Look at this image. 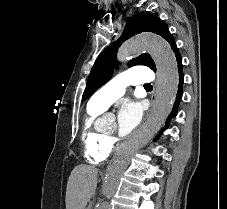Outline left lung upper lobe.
<instances>
[{
	"instance_id": "obj_1",
	"label": "left lung upper lobe",
	"mask_w": 227,
	"mask_h": 209,
	"mask_svg": "<svg viewBox=\"0 0 227 209\" xmlns=\"http://www.w3.org/2000/svg\"><path fill=\"white\" fill-rule=\"evenodd\" d=\"M142 32H152L160 35L168 41L172 49L176 47L175 40L169 32L166 23L158 17V14L146 12L129 17L120 38L105 48L97 57L89 74L82 100L88 99L101 85L112 77L113 69L117 66L116 52L121 44L130 37ZM135 65H145L156 71L155 63L149 54H141L128 64L129 67Z\"/></svg>"
}]
</instances>
